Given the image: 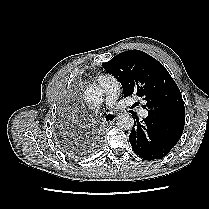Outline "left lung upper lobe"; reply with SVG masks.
Masks as SVG:
<instances>
[{
    "instance_id": "obj_1",
    "label": "left lung upper lobe",
    "mask_w": 209,
    "mask_h": 209,
    "mask_svg": "<svg viewBox=\"0 0 209 209\" xmlns=\"http://www.w3.org/2000/svg\"><path fill=\"white\" fill-rule=\"evenodd\" d=\"M121 84L124 96L136 94L147 103L148 115L185 123L181 92L165 67L139 50H129L102 64Z\"/></svg>"
}]
</instances>
